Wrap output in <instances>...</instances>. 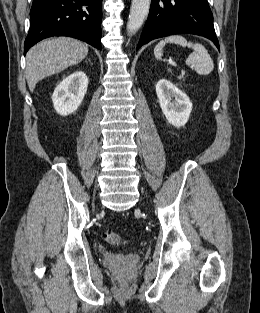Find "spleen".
<instances>
[{"mask_svg":"<svg viewBox=\"0 0 260 313\" xmlns=\"http://www.w3.org/2000/svg\"><path fill=\"white\" fill-rule=\"evenodd\" d=\"M167 43H174L182 47L192 48L193 52L186 59V64L194 67L196 73L200 75H208L214 69L213 60L208 51L200 43L188 42L181 35H171L161 40L154 48V55L156 59H161L162 51ZM171 72V69H168Z\"/></svg>","mask_w":260,"mask_h":313,"instance_id":"spleen-1","label":"spleen"}]
</instances>
